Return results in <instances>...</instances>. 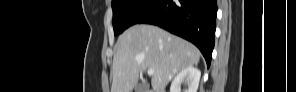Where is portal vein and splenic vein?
<instances>
[{
    "label": "portal vein and splenic vein",
    "mask_w": 296,
    "mask_h": 92,
    "mask_svg": "<svg viewBox=\"0 0 296 92\" xmlns=\"http://www.w3.org/2000/svg\"><path fill=\"white\" fill-rule=\"evenodd\" d=\"M147 73H148V75H153L154 74V70L153 69H148Z\"/></svg>",
    "instance_id": "obj_1"
}]
</instances>
